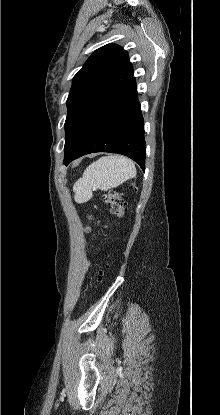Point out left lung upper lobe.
Here are the masks:
<instances>
[{"mask_svg": "<svg viewBox=\"0 0 220 415\" xmlns=\"http://www.w3.org/2000/svg\"><path fill=\"white\" fill-rule=\"evenodd\" d=\"M133 76L128 53L116 44L96 50L77 72L67 99L65 148L67 151L76 131L92 104L113 81Z\"/></svg>", "mask_w": 220, "mask_h": 415, "instance_id": "left-lung-upper-lobe-1", "label": "left lung upper lobe"}]
</instances>
